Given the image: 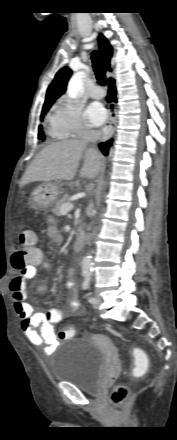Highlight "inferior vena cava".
I'll list each match as a JSON object with an SVG mask.
<instances>
[{"instance_id":"obj_1","label":"inferior vena cava","mask_w":177,"mask_h":440,"mask_svg":"<svg viewBox=\"0 0 177 440\" xmlns=\"http://www.w3.org/2000/svg\"><path fill=\"white\" fill-rule=\"evenodd\" d=\"M101 136L99 130L85 129L82 135V140L84 142H96Z\"/></svg>"}]
</instances>
